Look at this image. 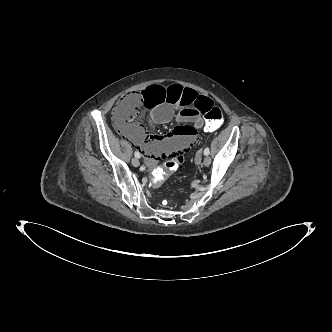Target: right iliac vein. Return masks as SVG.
Wrapping results in <instances>:
<instances>
[{"label": "right iliac vein", "mask_w": 332, "mask_h": 332, "mask_svg": "<svg viewBox=\"0 0 332 332\" xmlns=\"http://www.w3.org/2000/svg\"><path fill=\"white\" fill-rule=\"evenodd\" d=\"M132 165L135 167H138L140 165V162L137 158H133L131 161Z\"/></svg>", "instance_id": "63e3f726"}]
</instances>
